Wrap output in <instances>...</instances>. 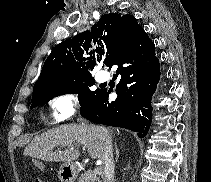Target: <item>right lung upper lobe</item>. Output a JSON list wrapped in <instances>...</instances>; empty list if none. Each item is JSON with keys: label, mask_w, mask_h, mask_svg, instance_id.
<instances>
[{"label": "right lung upper lobe", "mask_w": 211, "mask_h": 182, "mask_svg": "<svg viewBox=\"0 0 211 182\" xmlns=\"http://www.w3.org/2000/svg\"><path fill=\"white\" fill-rule=\"evenodd\" d=\"M144 32L129 14L102 15L90 31L79 33L53 48L34 84L33 94L51 84L91 75L101 61L109 66L118 48Z\"/></svg>", "instance_id": "cb5924a9"}]
</instances>
